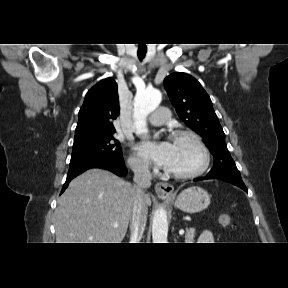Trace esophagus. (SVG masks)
Here are the masks:
<instances>
[{"mask_svg": "<svg viewBox=\"0 0 288 288\" xmlns=\"http://www.w3.org/2000/svg\"><path fill=\"white\" fill-rule=\"evenodd\" d=\"M155 191L160 197H169L173 195L174 187L166 182H158L155 185Z\"/></svg>", "mask_w": 288, "mask_h": 288, "instance_id": "obj_1", "label": "esophagus"}]
</instances>
